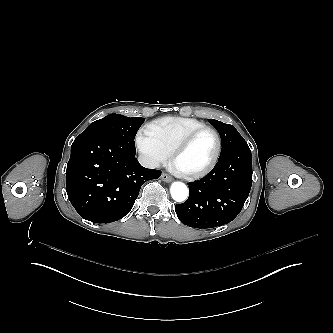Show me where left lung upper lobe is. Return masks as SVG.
<instances>
[{"mask_svg":"<svg viewBox=\"0 0 333 333\" xmlns=\"http://www.w3.org/2000/svg\"><path fill=\"white\" fill-rule=\"evenodd\" d=\"M209 122L219 132L222 140V150L220 156L227 154L229 151L236 147L247 145V142L239 134V132L235 129L234 126L230 124H225L214 119H210Z\"/></svg>","mask_w":333,"mask_h":333,"instance_id":"1","label":"left lung upper lobe"}]
</instances>
